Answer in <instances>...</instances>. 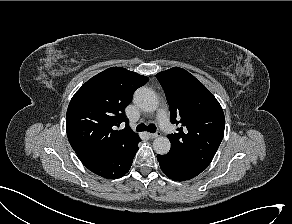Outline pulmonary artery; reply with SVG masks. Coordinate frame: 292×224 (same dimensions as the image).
I'll return each instance as SVG.
<instances>
[{
	"label": "pulmonary artery",
	"instance_id": "e3ab8cb5",
	"mask_svg": "<svg viewBox=\"0 0 292 224\" xmlns=\"http://www.w3.org/2000/svg\"><path fill=\"white\" fill-rule=\"evenodd\" d=\"M158 121H159V125L160 127L166 131L167 133H171L173 131V127L171 126L169 120H168V116H167V112L165 109H161L158 113Z\"/></svg>",
	"mask_w": 292,
	"mask_h": 224
}]
</instances>
